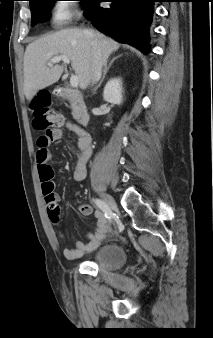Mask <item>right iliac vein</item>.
<instances>
[{"label":"right iliac vein","instance_id":"right-iliac-vein-1","mask_svg":"<svg viewBox=\"0 0 213 338\" xmlns=\"http://www.w3.org/2000/svg\"><path fill=\"white\" fill-rule=\"evenodd\" d=\"M101 198L106 203V205H108L110 210L115 211V212L118 211V207L114 199L111 196H109L108 194H102Z\"/></svg>","mask_w":213,"mask_h":338}]
</instances>
